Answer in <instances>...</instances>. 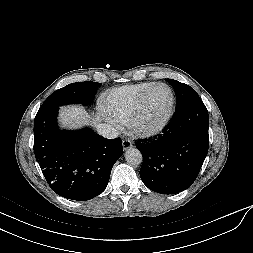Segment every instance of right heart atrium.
I'll list each match as a JSON object with an SVG mask.
<instances>
[{
	"label": "right heart atrium",
	"instance_id": "d8ad5b80",
	"mask_svg": "<svg viewBox=\"0 0 253 253\" xmlns=\"http://www.w3.org/2000/svg\"><path fill=\"white\" fill-rule=\"evenodd\" d=\"M101 114L105 118L106 121H108L112 125H115V126L119 127V123L107 111L102 109Z\"/></svg>",
	"mask_w": 253,
	"mask_h": 253
}]
</instances>
